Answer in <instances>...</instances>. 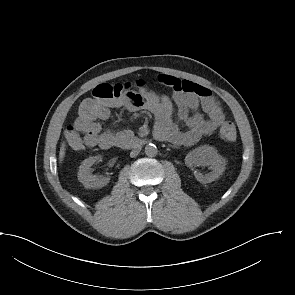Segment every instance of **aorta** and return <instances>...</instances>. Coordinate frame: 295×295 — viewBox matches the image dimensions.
Masks as SVG:
<instances>
[{"instance_id": "aorta-1", "label": "aorta", "mask_w": 295, "mask_h": 295, "mask_svg": "<svg viewBox=\"0 0 295 295\" xmlns=\"http://www.w3.org/2000/svg\"><path fill=\"white\" fill-rule=\"evenodd\" d=\"M157 153H158V149H157V147L154 144H148V145H146V147H145V154L148 157H154V156L157 155Z\"/></svg>"}]
</instances>
